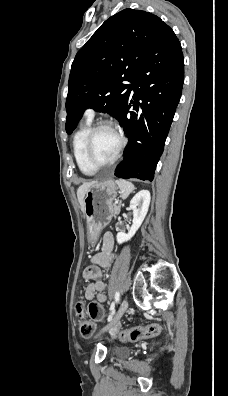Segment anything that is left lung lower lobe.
Returning <instances> with one entry per match:
<instances>
[{"mask_svg":"<svg viewBox=\"0 0 228 396\" xmlns=\"http://www.w3.org/2000/svg\"><path fill=\"white\" fill-rule=\"evenodd\" d=\"M184 81L182 48L169 27L157 35L131 84L120 123L128 144L115 176L152 181ZM141 100V103H139ZM133 110L129 112L130 107Z\"/></svg>","mask_w":228,"mask_h":396,"instance_id":"1","label":"left lung lower lobe"}]
</instances>
